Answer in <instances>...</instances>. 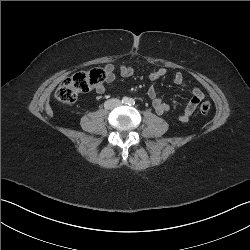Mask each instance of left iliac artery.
Returning <instances> with one entry per match:
<instances>
[{
	"label": "left iliac artery",
	"instance_id": "44dca946",
	"mask_svg": "<svg viewBox=\"0 0 250 250\" xmlns=\"http://www.w3.org/2000/svg\"><path fill=\"white\" fill-rule=\"evenodd\" d=\"M134 104H135V100L131 98V99L129 100V105H134Z\"/></svg>",
	"mask_w": 250,
	"mask_h": 250
}]
</instances>
